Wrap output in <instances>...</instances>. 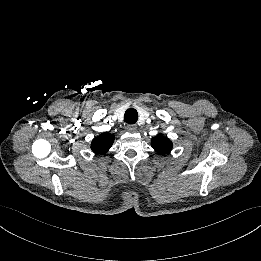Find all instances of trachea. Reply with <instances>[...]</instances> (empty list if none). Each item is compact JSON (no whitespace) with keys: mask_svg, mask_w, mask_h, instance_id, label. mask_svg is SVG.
Returning a JSON list of instances; mask_svg holds the SVG:
<instances>
[{"mask_svg":"<svg viewBox=\"0 0 261 261\" xmlns=\"http://www.w3.org/2000/svg\"><path fill=\"white\" fill-rule=\"evenodd\" d=\"M138 120V112L133 109L130 108L128 110H126L125 114H124V121L128 124H135Z\"/></svg>","mask_w":261,"mask_h":261,"instance_id":"trachea-1","label":"trachea"}]
</instances>
